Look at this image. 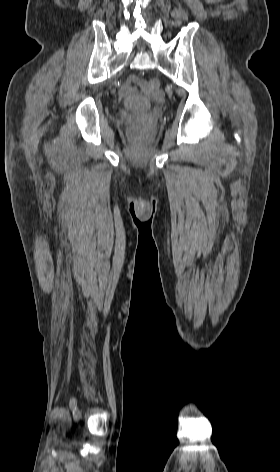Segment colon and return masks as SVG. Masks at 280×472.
<instances>
[{
  "mask_svg": "<svg viewBox=\"0 0 280 472\" xmlns=\"http://www.w3.org/2000/svg\"><path fill=\"white\" fill-rule=\"evenodd\" d=\"M147 87L152 92H157L159 90V83L157 80H150L147 83Z\"/></svg>",
  "mask_w": 280,
  "mask_h": 472,
  "instance_id": "1",
  "label": "colon"
}]
</instances>
